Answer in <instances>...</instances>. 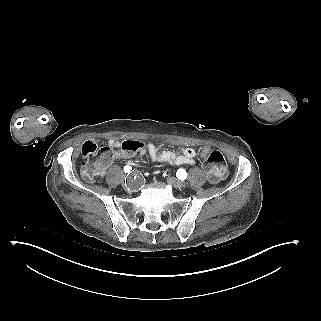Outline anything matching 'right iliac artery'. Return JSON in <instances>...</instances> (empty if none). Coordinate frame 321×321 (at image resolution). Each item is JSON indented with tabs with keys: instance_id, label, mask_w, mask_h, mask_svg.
<instances>
[{
	"instance_id": "right-iliac-artery-1",
	"label": "right iliac artery",
	"mask_w": 321,
	"mask_h": 321,
	"mask_svg": "<svg viewBox=\"0 0 321 321\" xmlns=\"http://www.w3.org/2000/svg\"><path fill=\"white\" fill-rule=\"evenodd\" d=\"M131 169H132L131 166L127 165V166L124 167V172L128 173V172L131 171Z\"/></svg>"
}]
</instances>
